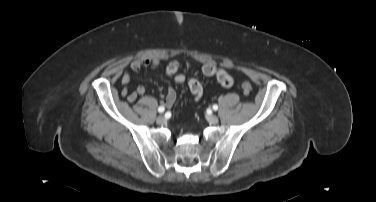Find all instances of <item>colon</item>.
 Here are the masks:
<instances>
[{"instance_id":"obj_1","label":"colon","mask_w":376,"mask_h":202,"mask_svg":"<svg viewBox=\"0 0 376 202\" xmlns=\"http://www.w3.org/2000/svg\"><path fill=\"white\" fill-rule=\"evenodd\" d=\"M241 88L245 94H250L253 90V87L249 82H243Z\"/></svg>"}]
</instances>
